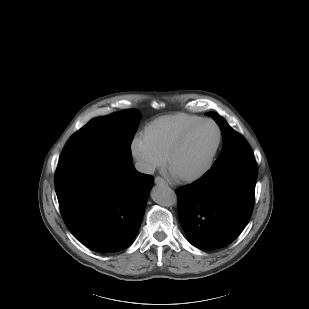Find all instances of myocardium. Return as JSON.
Returning <instances> with one entry per match:
<instances>
[{
  "label": "myocardium",
  "mask_w": 309,
  "mask_h": 309,
  "mask_svg": "<svg viewBox=\"0 0 309 309\" xmlns=\"http://www.w3.org/2000/svg\"><path fill=\"white\" fill-rule=\"evenodd\" d=\"M206 123H210L213 124L218 131V140L216 143V146L214 148V151L210 157L209 162L207 163V165L199 172L191 174V175H182V176H177V179L180 182H184V183H191V182H195L201 178H203L205 175H207L210 170L213 168L215 161L217 159L218 153L220 151V148L222 146L223 143V130L221 128V126L213 119L210 118H205L202 119L196 123H194L193 125H191L190 127H188L177 139L176 141L173 143V145L171 146V148L169 149L166 157H165V164L166 166L170 165V162L172 160V158L175 156V154L179 151V149L182 147V145L186 142V140L189 138V136L201 125L206 124Z\"/></svg>",
  "instance_id": "1"
}]
</instances>
